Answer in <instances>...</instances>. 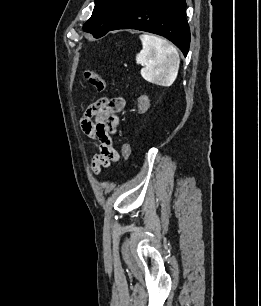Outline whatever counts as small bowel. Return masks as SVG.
Returning a JSON list of instances; mask_svg holds the SVG:
<instances>
[{
  "label": "small bowel",
  "instance_id": "obj_1",
  "mask_svg": "<svg viewBox=\"0 0 261 306\" xmlns=\"http://www.w3.org/2000/svg\"><path fill=\"white\" fill-rule=\"evenodd\" d=\"M126 105L123 97L103 98L91 104L81 120L85 135L93 141L97 154L92 161L93 170L98 173L102 167H108L119 159V153L111 141V134L117 132L118 113Z\"/></svg>",
  "mask_w": 261,
  "mask_h": 306
}]
</instances>
